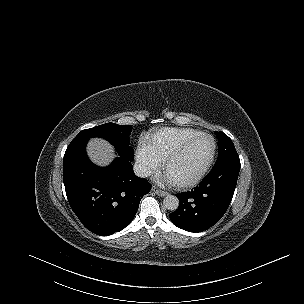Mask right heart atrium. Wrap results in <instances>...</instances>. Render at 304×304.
Segmentation results:
<instances>
[{
    "label": "right heart atrium",
    "mask_w": 304,
    "mask_h": 304,
    "mask_svg": "<svg viewBox=\"0 0 304 304\" xmlns=\"http://www.w3.org/2000/svg\"><path fill=\"white\" fill-rule=\"evenodd\" d=\"M136 162L140 173L145 176L157 172L161 167V159L145 142H140L137 147Z\"/></svg>",
    "instance_id": "1"
}]
</instances>
